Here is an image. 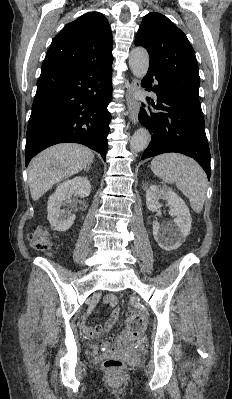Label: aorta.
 Instances as JSON below:
<instances>
[{"instance_id": "1", "label": "aorta", "mask_w": 232, "mask_h": 399, "mask_svg": "<svg viewBox=\"0 0 232 399\" xmlns=\"http://www.w3.org/2000/svg\"><path fill=\"white\" fill-rule=\"evenodd\" d=\"M129 66L137 78H143L149 69V55L142 47H135L131 50ZM150 135L146 128H139L133 134L130 141L131 151L138 153L143 151L149 144Z\"/></svg>"}]
</instances>
